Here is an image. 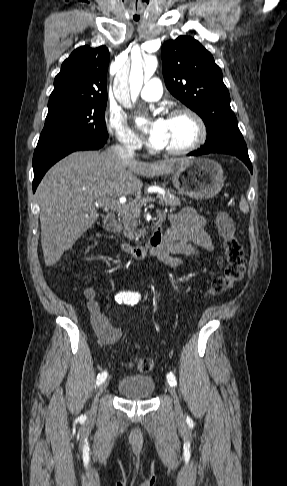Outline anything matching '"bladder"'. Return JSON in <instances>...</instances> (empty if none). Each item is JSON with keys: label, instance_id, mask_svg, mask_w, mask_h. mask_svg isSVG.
Wrapping results in <instances>:
<instances>
[{"label": "bladder", "instance_id": "bladder-1", "mask_svg": "<svg viewBox=\"0 0 287 486\" xmlns=\"http://www.w3.org/2000/svg\"><path fill=\"white\" fill-rule=\"evenodd\" d=\"M117 389L127 398L148 399L155 392V382L148 375H125L120 378Z\"/></svg>", "mask_w": 287, "mask_h": 486}]
</instances>
